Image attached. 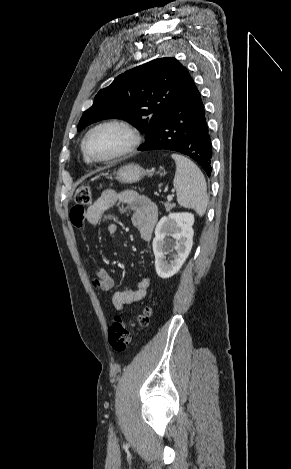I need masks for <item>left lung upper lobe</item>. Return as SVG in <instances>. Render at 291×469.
<instances>
[{"instance_id": "5c2ea615", "label": "left lung upper lobe", "mask_w": 291, "mask_h": 469, "mask_svg": "<svg viewBox=\"0 0 291 469\" xmlns=\"http://www.w3.org/2000/svg\"><path fill=\"white\" fill-rule=\"evenodd\" d=\"M175 58H160L126 71L100 90L86 110L78 130L96 121L122 119L142 130L148 139L191 80Z\"/></svg>"}]
</instances>
